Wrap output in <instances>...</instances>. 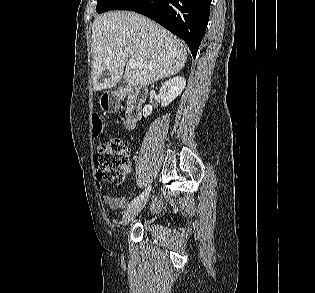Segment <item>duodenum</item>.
<instances>
[{
    "mask_svg": "<svg viewBox=\"0 0 315 293\" xmlns=\"http://www.w3.org/2000/svg\"><path fill=\"white\" fill-rule=\"evenodd\" d=\"M119 96L127 97L126 107V126L133 128L135 123L141 118L143 103L147 97V90L143 87H124L120 88Z\"/></svg>",
    "mask_w": 315,
    "mask_h": 293,
    "instance_id": "1",
    "label": "duodenum"
}]
</instances>
